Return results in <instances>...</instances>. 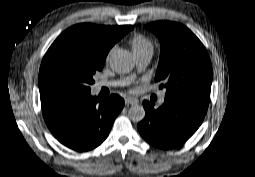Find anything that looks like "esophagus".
Masks as SVG:
<instances>
[{
  "mask_svg": "<svg viewBox=\"0 0 255 177\" xmlns=\"http://www.w3.org/2000/svg\"><path fill=\"white\" fill-rule=\"evenodd\" d=\"M139 101L137 99H133L131 97H126L125 98V104L128 105V104H137Z\"/></svg>",
  "mask_w": 255,
  "mask_h": 177,
  "instance_id": "esophagus-1",
  "label": "esophagus"
}]
</instances>
